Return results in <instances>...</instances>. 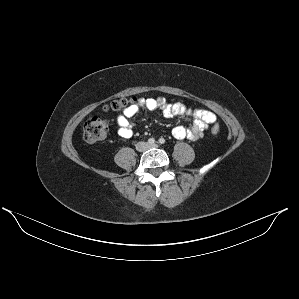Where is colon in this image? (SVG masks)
I'll use <instances>...</instances> for the list:
<instances>
[{
  "instance_id": "colon-1",
  "label": "colon",
  "mask_w": 299,
  "mask_h": 299,
  "mask_svg": "<svg viewBox=\"0 0 299 299\" xmlns=\"http://www.w3.org/2000/svg\"><path fill=\"white\" fill-rule=\"evenodd\" d=\"M132 99H119L114 100L108 105H106V111L117 113L128 109L133 105ZM109 121L103 118L93 117L86 121L83 128V139L86 142H97L103 140L107 137L109 132ZM220 128L217 124L212 126V132L218 134Z\"/></svg>"
}]
</instances>
